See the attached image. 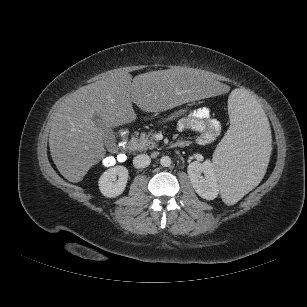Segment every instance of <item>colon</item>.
<instances>
[{
    "instance_id": "colon-1",
    "label": "colon",
    "mask_w": 307,
    "mask_h": 307,
    "mask_svg": "<svg viewBox=\"0 0 307 307\" xmlns=\"http://www.w3.org/2000/svg\"><path fill=\"white\" fill-rule=\"evenodd\" d=\"M119 136H120V140H119V143L116 145L117 153L106 156L103 159L104 166H113L120 161L121 156H125L128 133L125 129H121L119 131Z\"/></svg>"
}]
</instances>
